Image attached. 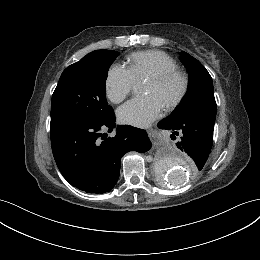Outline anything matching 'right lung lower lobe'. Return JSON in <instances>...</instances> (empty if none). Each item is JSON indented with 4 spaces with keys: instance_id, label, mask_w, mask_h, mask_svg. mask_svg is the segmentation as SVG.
I'll use <instances>...</instances> for the list:
<instances>
[{
    "instance_id": "obj_1",
    "label": "right lung lower lobe",
    "mask_w": 260,
    "mask_h": 260,
    "mask_svg": "<svg viewBox=\"0 0 260 260\" xmlns=\"http://www.w3.org/2000/svg\"><path fill=\"white\" fill-rule=\"evenodd\" d=\"M115 126L114 112L99 122L50 126L54 159L72 186L89 193L109 192L118 181L123 155L151 148L146 131L129 125L118 126L116 136L107 138L103 132H111Z\"/></svg>"
}]
</instances>
